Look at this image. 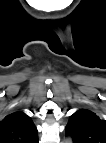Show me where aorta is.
<instances>
[{
  "label": "aorta",
  "instance_id": "762f6f07",
  "mask_svg": "<svg viewBox=\"0 0 106 143\" xmlns=\"http://www.w3.org/2000/svg\"><path fill=\"white\" fill-rule=\"evenodd\" d=\"M71 142H72L71 138H66L65 139V143H71Z\"/></svg>",
  "mask_w": 106,
  "mask_h": 143
}]
</instances>
